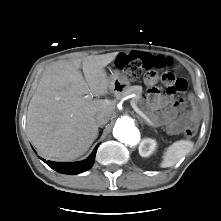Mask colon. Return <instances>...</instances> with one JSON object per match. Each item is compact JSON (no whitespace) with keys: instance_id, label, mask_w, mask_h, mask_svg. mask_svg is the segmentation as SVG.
<instances>
[{"instance_id":"5ec220e1","label":"colon","mask_w":221,"mask_h":221,"mask_svg":"<svg viewBox=\"0 0 221 221\" xmlns=\"http://www.w3.org/2000/svg\"><path fill=\"white\" fill-rule=\"evenodd\" d=\"M168 63L169 59L162 55L151 57L147 54H140L137 57H133L130 54H119L116 59L118 70L133 80L150 77L155 74V68H164ZM162 80L169 94L183 93L188 87V82L184 77L172 72H165ZM197 130V124L193 123L185 128L184 134L187 138H191L197 133Z\"/></svg>"}]
</instances>
